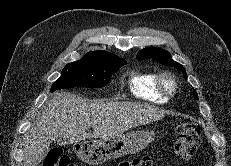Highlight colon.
I'll list each match as a JSON object with an SVG mask.
<instances>
[{
  "mask_svg": "<svg viewBox=\"0 0 231 166\" xmlns=\"http://www.w3.org/2000/svg\"><path fill=\"white\" fill-rule=\"evenodd\" d=\"M178 138L174 145L175 154L189 160L193 157L200 144V129L196 123L178 121L175 125ZM41 166H77L61 148H52ZM117 166H152V161L147 156L134 157L121 160Z\"/></svg>",
  "mask_w": 231,
  "mask_h": 166,
  "instance_id": "obj_1",
  "label": "colon"
}]
</instances>
